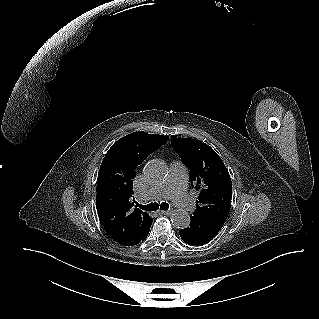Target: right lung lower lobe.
<instances>
[{
  "instance_id": "98d812e1",
  "label": "right lung lower lobe",
  "mask_w": 319,
  "mask_h": 319,
  "mask_svg": "<svg viewBox=\"0 0 319 319\" xmlns=\"http://www.w3.org/2000/svg\"><path fill=\"white\" fill-rule=\"evenodd\" d=\"M152 221H153V219H152ZM152 221L149 222V223L145 226V228L143 229V231L135 238V240L133 241L132 245H136V244H138L139 242L144 241V240L147 238Z\"/></svg>"
}]
</instances>
